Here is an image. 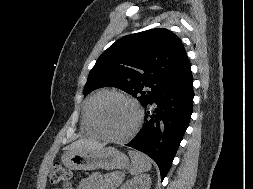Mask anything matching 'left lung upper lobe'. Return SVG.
Instances as JSON below:
<instances>
[{
	"mask_svg": "<svg viewBox=\"0 0 253 189\" xmlns=\"http://www.w3.org/2000/svg\"><path fill=\"white\" fill-rule=\"evenodd\" d=\"M186 51L168 29H151L124 36L99 57L89 73L84 94L116 87L144 106L181 68ZM150 88L151 91H145Z\"/></svg>",
	"mask_w": 253,
	"mask_h": 189,
	"instance_id": "left-lung-upper-lobe-1",
	"label": "left lung upper lobe"
}]
</instances>
